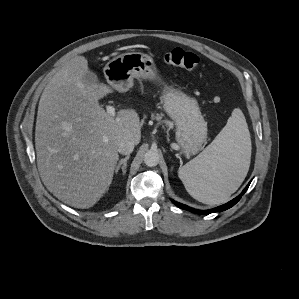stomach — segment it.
I'll use <instances>...</instances> for the list:
<instances>
[{"label":"stomach","instance_id":"1","mask_svg":"<svg viewBox=\"0 0 299 299\" xmlns=\"http://www.w3.org/2000/svg\"><path fill=\"white\" fill-rule=\"evenodd\" d=\"M103 72L107 82L121 92L132 87L134 78L159 79L153 59L142 52H127L114 57L105 65ZM161 101L164 111L174 121L176 141L181 152L186 157L197 154L207 138V123L197 101L168 86Z\"/></svg>","mask_w":299,"mask_h":299}]
</instances>
